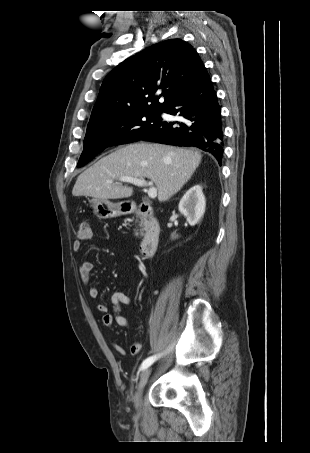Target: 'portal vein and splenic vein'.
Listing matches in <instances>:
<instances>
[{
  "instance_id": "1",
  "label": "portal vein and splenic vein",
  "mask_w": 310,
  "mask_h": 453,
  "mask_svg": "<svg viewBox=\"0 0 310 453\" xmlns=\"http://www.w3.org/2000/svg\"><path fill=\"white\" fill-rule=\"evenodd\" d=\"M119 181L121 182H128L131 184H134L139 187H145V186H150L148 190V196L151 199H155L157 197V189L152 186V182H147L143 178H133V177H128V176H123L119 178ZM107 183L111 184L113 183V180L107 181Z\"/></svg>"
}]
</instances>
